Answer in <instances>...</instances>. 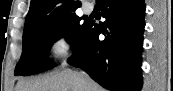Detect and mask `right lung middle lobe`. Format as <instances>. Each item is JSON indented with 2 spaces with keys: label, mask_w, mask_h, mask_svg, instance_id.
<instances>
[{
  "label": "right lung middle lobe",
  "mask_w": 173,
  "mask_h": 91,
  "mask_svg": "<svg viewBox=\"0 0 173 91\" xmlns=\"http://www.w3.org/2000/svg\"><path fill=\"white\" fill-rule=\"evenodd\" d=\"M72 14L63 19L41 23L24 29L22 56L14 74L27 76L52 68L48 54L53 43L65 37L72 47L82 40L89 21Z\"/></svg>",
  "instance_id": "dd1d6c3e"
}]
</instances>
